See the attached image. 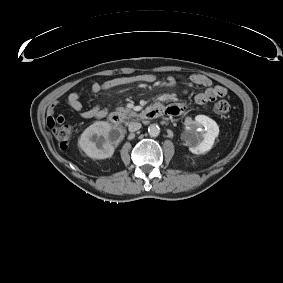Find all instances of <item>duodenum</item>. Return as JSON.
I'll list each match as a JSON object with an SVG mask.
<instances>
[{
	"mask_svg": "<svg viewBox=\"0 0 283 283\" xmlns=\"http://www.w3.org/2000/svg\"><path fill=\"white\" fill-rule=\"evenodd\" d=\"M163 114V109L159 105H154L144 113V118L151 119ZM108 120L111 124L118 126L122 123V116L118 112H111Z\"/></svg>",
	"mask_w": 283,
	"mask_h": 283,
	"instance_id": "1",
	"label": "duodenum"
}]
</instances>
